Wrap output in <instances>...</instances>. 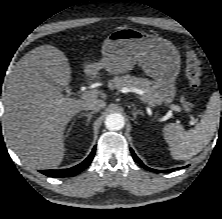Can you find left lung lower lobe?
<instances>
[{
    "label": "left lung lower lobe",
    "instance_id": "1",
    "mask_svg": "<svg viewBox=\"0 0 222 219\" xmlns=\"http://www.w3.org/2000/svg\"><path fill=\"white\" fill-rule=\"evenodd\" d=\"M131 153H132V156L134 158V160L139 163L142 167H144L146 170H149V171H152V172H157V173H167V172H171L173 171L174 169H169V170H155V169H151L147 166H145L142 161L136 156V154L134 153V151L132 149H130ZM185 168V167H184Z\"/></svg>",
    "mask_w": 222,
    "mask_h": 219
}]
</instances>
